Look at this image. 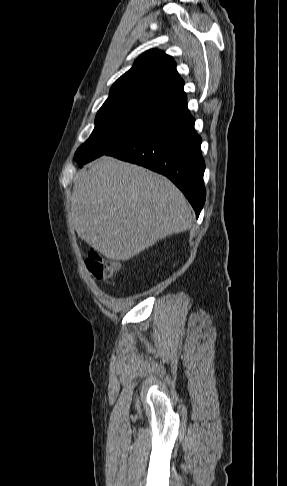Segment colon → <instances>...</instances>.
Masks as SVG:
<instances>
[{
	"instance_id": "colon-1",
	"label": "colon",
	"mask_w": 287,
	"mask_h": 486,
	"mask_svg": "<svg viewBox=\"0 0 287 486\" xmlns=\"http://www.w3.org/2000/svg\"><path fill=\"white\" fill-rule=\"evenodd\" d=\"M85 263L94 278L100 281L110 279L120 265L118 261L106 259L94 250L89 252Z\"/></svg>"
}]
</instances>
